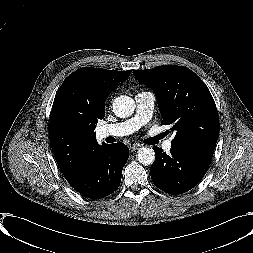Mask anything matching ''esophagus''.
<instances>
[{"label": "esophagus", "instance_id": "34e87169", "mask_svg": "<svg viewBox=\"0 0 253 253\" xmlns=\"http://www.w3.org/2000/svg\"><path fill=\"white\" fill-rule=\"evenodd\" d=\"M140 145L139 144H132L130 145L129 149L131 152L136 151L137 149H139Z\"/></svg>", "mask_w": 253, "mask_h": 253}]
</instances>
